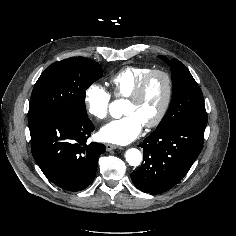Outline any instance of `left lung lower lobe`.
I'll list each match as a JSON object with an SVG mask.
<instances>
[{
	"instance_id": "obj_1",
	"label": "left lung lower lobe",
	"mask_w": 236,
	"mask_h": 236,
	"mask_svg": "<svg viewBox=\"0 0 236 236\" xmlns=\"http://www.w3.org/2000/svg\"><path fill=\"white\" fill-rule=\"evenodd\" d=\"M205 127L181 123L152 132L140 144L144 157L140 168L131 173L134 185L151 194L173 188L200 154Z\"/></svg>"
}]
</instances>
